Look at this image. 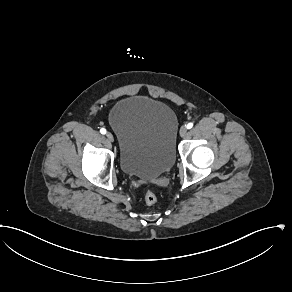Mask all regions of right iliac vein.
Returning <instances> with one entry per match:
<instances>
[{
    "instance_id": "1",
    "label": "right iliac vein",
    "mask_w": 292,
    "mask_h": 292,
    "mask_svg": "<svg viewBox=\"0 0 292 292\" xmlns=\"http://www.w3.org/2000/svg\"><path fill=\"white\" fill-rule=\"evenodd\" d=\"M106 137H107V139H108L110 142H113L114 138H113V135H112L110 132H108V133L106 134Z\"/></svg>"
}]
</instances>
